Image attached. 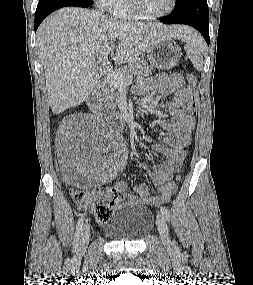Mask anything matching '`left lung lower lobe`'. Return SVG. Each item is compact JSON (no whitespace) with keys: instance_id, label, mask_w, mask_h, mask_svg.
Wrapping results in <instances>:
<instances>
[{"instance_id":"obj_1","label":"left lung lower lobe","mask_w":253,"mask_h":285,"mask_svg":"<svg viewBox=\"0 0 253 285\" xmlns=\"http://www.w3.org/2000/svg\"><path fill=\"white\" fill-rule=\"evenodd\" d=\"M176 9L160 18L164 24H186L201 32L209 45V12L206 0H178Z\"/></svg>"}]
</instances>
